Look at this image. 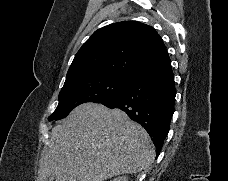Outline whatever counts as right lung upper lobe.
I'll use <instances>...</instances> for the list:
<instances>
[{"label":"right lung upper lobe","instance_id":"1","mask_svg":"<svg viewBox=\"0 0 228 181\" xmlns=\"http://www.w3.org/2000/svg\"><path fill=\"white\" fill-rule=\"evenodd\" d=\"M167 58L166 47L151 26L135 21L118 22L96 30L83 44L65 83L98 74L132 78Z\"/></svg>","mask_w":228,"mask_h":181}]
</instances>
